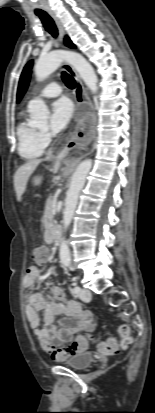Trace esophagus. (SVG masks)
Listing matches in <instances>:
<instances>
[{
  "instance_id": "34e87169",
  "label": "esophagus",
  "mask_w": 155,
  "mask_h": 413,
  "mask_svg": "<svg viewBox=\"0 0 155 413\" xmlns=\"http://www.w3.org/2000/svg\"><path fill=\"white\" fill-rule=\"evenodd\" d=\"M49 15L52 17V19L56 23L57 28H58L59 33H60V36H61V38H63L64 35H65V30H64L60 20L52 12H49ZM62 69L65 70L68 74H70L75 79V82H76L75 102H76L77 109H79L80 113L83 114V113H85L87 108L92 105L91 100L88 96L87 90L84 87L82 81L80 80L77 72L75 71V69L69 63H67V62L63 63L62 64ZM72 142L73 141H70L69 143L66 144V146L63 149V152H67L68 150L71 149V147L73 146ZM84 156H82L81 158H83ZM81 158H78V159L74 160V162L72 164V167L75 166L81 160Z\"/></svg>"
}]
</instances>
